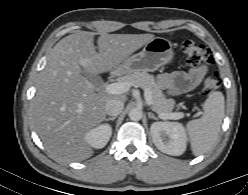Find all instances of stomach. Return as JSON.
I'll list each match as a JSON object with an SVG mask.
<instances>
[{
    "label": "stomach",
    "instance_id": "0dacf381",
    "mask_svg": "<svg viewBox=\"0 0 248 195\" xmlns=\"http://www.w3.org/2000/svg\"><path fill=\"white\" fill-rule=\"evenodd\" d=\"M173 57L172 43L166 38L156 37L147 42L142 51L125 60L117 72H154L171 62Z\"/></svg>",
    "mask_w": 248,
    "mask_h": 195
}]
</instances>
